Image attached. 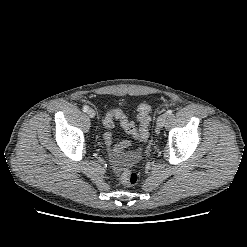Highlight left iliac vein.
Masks as SVG:
<instances>
[{"instance_id":"obj_1","label":"left iliac vein","mask_w":247,"mask_h":247,"mask_svg":"<svg viewBox=\"0 0 247 247\" xmlns=\"http://www.w3.org/2000/svg\"><path fill=\"white\" fill-rule=\"evenodd\" d=\"M166 115L165 114H162L158 117L157 119V127L158 128H162L166 122Z\"/></svg>"}]
</instances>
